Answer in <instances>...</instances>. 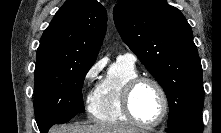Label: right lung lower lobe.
Listing matches in <instances>:
<instances>
[{"label": "right lung lower lobe", "mask_w": 221, "mask_h": 133, "mask_svg": "<svg viewBox=\"0 0 221 133\" xmlns=\"http://www.w3.org/2000/svg\"><path fill=\"white\" fill-rule=\"evenodd\" d=\"M53 125L48 126L47 128H45L44 130H40L41 133H47L49 128L52 127Z\"/></svg>", "instance_id": "right-lung-lower-lobe-1"}]
</instances>
